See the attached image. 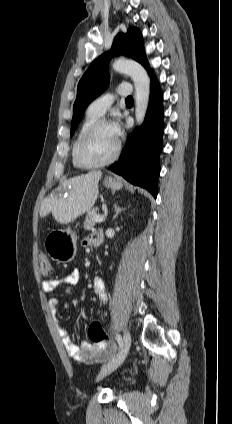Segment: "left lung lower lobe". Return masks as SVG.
<instances>
[{
  "label": "left lung lower lobe",
  "instance_id": "1",
  "mask_svg": "<svg viewBox=\"0 0 232 424\" xmlns=\"http://www.w3.org/2000/svg\"><path fill=\"white\" fill-rule=\"evenodd\" d=\"M148 73L151 78V95L144 123L133 131L119 160L109 169L130 183L147 189L156 198L159 155L163 148V107L159 84L151 71Z\"/></svg>",
  "mask_w": 232,
  "mask_h": 424
}]
</instances>
